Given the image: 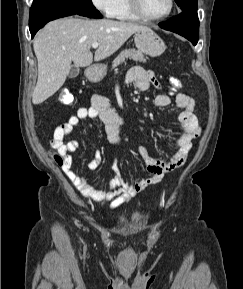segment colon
<instances>
[{
  "instance_id": "5ec220e1",
  "label": "colon",
  "mask_w": 243,
  "mask_h": 289,
  "mask_svg": "<svg viewBox=\"0 0 243 289\" xmlns=\"http://www.w3.org/2000/svg\"><path fill=\"white\" fill-rule=\"evenodd\" d=\"M169 82L173 91H176L182 87L181 80L176 77H170ZM59 101L62 104L70 105L73 103L74 97L68 89H62L59 94ZM54 158L58 164L61 163L62 159L59 156L55 155Z\"/></svg>"
}]
</instances>
